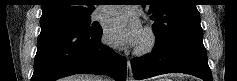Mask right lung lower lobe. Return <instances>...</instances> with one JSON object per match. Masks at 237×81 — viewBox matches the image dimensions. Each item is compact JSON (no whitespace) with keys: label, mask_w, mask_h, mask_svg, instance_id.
<instances>
[{"label":"right lung lower lobe","mask_w":237,"mask_h":81,"mask_svg":"<svg viewBox=\"0 0 237 81\" xmlns=\"http://www.w3.org/2000/svg\"><path fill=\"white\" fill-rule=\"evenodd\" d=\"M101 27L84 32L70 27H42L31 81H55L77 73L126 79V59L100 42Z\"/></svg>","instance_id":"1"}]
</instances>
